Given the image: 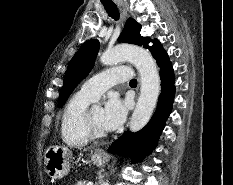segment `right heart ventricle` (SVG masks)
Here are the masks:
<instances>
[{
  "label": "right heart ventricle",
  "instance_id": "right-heart-ventricle-1",
  "mask_svg": "<svg viewBox=\"0 0 233 185\" xmlns=\"http://www.w3.org/2000/svg\"><path fill=\"white\" fill-rule=\"evenodd\" d=\"M93 100L80 92L67 102L60 122L62 140L69 147H83L90 141L85 126L84 115Z\"/></svg>",
  "mask_w": 233,
  "mask_h": 185
}]
</instances>
